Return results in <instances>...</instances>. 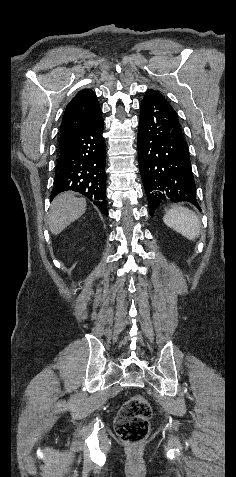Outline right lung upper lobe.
Here are the masks:
<instances>
[{"label":"right lung upper lobe","instance_id":"right-lung-upper-lobe-1","mask_svg":"<svg viewBox=\"0 0 236 477\" xmlns=\"http://www.w3.org/2000/svg\"><path fill=\"white\" fill-rule=\"evenodd\" d=\"M101 115L95 93L80 91L67 105L60 127V144L78 135Z\"/></svg>","mask_w":236,"mask_h":477}]
</instances>
